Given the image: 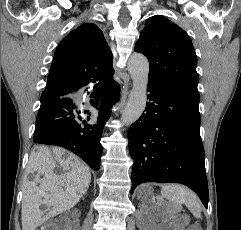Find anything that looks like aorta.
I'll return each instance as SVG.
<instances>
[{
  "mask_svg": "<svg viewBox=\"0 0 241 230\" xmlns=\"http://www.w3.org/2000/svg\"><path fill=\"white\" fill-rule=\"evenodd\" d=\"M128 72L132 78L133 87L121 117L125 125L137 121L146 106L149 74L147 58L142 54H133L128 61Z\"/></svg>",
  "mask_w": 241,
  "mask_h": 230,
  "instance_id": "1",
  "label": "aorta"
}]
</instances>
